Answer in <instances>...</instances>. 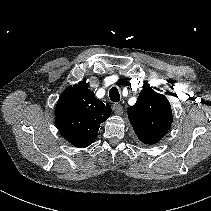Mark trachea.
<instances>
[{
  "mask_svg": "<svg viewBox=\"0 0 211 211\" xmlns=\"http://www.w3.org/2000/svg\"><path fill=\"white\" fill-rule=\"evenodd\" d=\"M109 97L110 100L113 102H119L120 101V93L116 87H112L109 91Z\"/></svg>",
  "mask_w": 211,
  "mask_h": 211,
  "instance_id": "3493384b",
  "label": "trachea"
}]
</instances>
